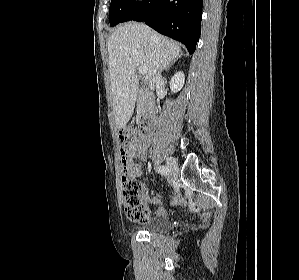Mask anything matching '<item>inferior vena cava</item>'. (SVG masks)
I'll return each mask as SVG.
<instances>
[{"label": "inferior vena cava", "mask_w": 299, "mask_h": 280, "mask_svg": "<svg viewBox=\"0 0 299 280\" xmlns=\"http://www.w3.org/2000/svg\"><path fill=\"white\" fill-rule=\"evenodd\" d=\"M162 82V75H161V71H158L157 73H155L153 75V77L151 78V80L149 81V87L151 90H154L155 86L159 83Z\"/></svg>", "instance_id": "1"}]
</instances>
